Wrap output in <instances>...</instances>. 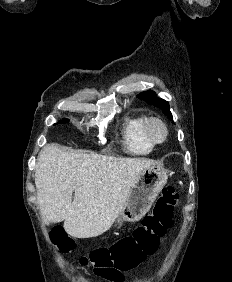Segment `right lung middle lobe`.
Here are the masks:
<instances>
[{
  "label": "right lung middle lobe",
  "mask_w": 232,
  "mask_h": 282,
  "mask_svg": "<svg viewBox=\"0 0 232 282\" xmlns=\"http://www.w3.org/2000/svg\"><path fill=\"white\" fill-rule=\"evenodd\" d=\"M67 121H68V119H63V120L58 121L56 124H59V123H66Z\"/></svg>",
  "instance_id": "right-lung-middle-lobe-1"
}]
</instances>
